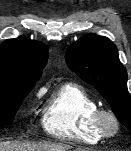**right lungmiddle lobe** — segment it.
<instances>
[{
    "instance_id": "obj_1",
    "label": "right lung middle lobe",
    "mask_w": 131,
    "mask_h": 151,
    "mask_svg": "<svg viewBox=\"0 0 131 151\" xmlns=\"http://www.w3.org/2000/svg\"><path fill=\"white\" fill-rule=\"evenodd\" d=\"M32 88V85L0 84V126L13 122L23 99Z\"/></svg>"
}]
</instances>
